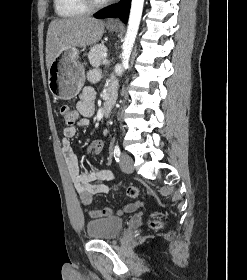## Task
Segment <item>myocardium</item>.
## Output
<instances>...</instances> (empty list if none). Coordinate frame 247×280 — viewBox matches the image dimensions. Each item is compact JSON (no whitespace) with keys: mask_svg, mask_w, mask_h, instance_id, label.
Returning a JSON list of instances; mask_svg holds the SVG:
<instances>
[{"mask_svg":"<svg viewBox=\"0 0 247 280\" xmlns=\"http://www.w3.org/2000/svg\"><path fill=\"white\" fill-rule=\"evenodd\" d=\"M111 0H83L89 9H97L107 5Z\"/></svg>","mask_w":247,"mask_h":280,"instance_id":"f54148a6","label":"myocardium"}]
</instances>
